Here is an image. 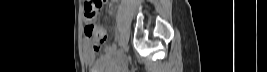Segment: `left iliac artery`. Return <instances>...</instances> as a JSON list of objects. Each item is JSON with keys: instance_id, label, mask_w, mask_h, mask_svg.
<instances>
[{"instance_id": "44dca946", "label": "left iliac artery", "mask_w": 267, "mask_h": 72, "mask_svg": "<svg viewBox=\"0 0 267 72\" xmlns=\"http://www.w3.org/2000/svg\"><path fill=\"white\" fill-rule=\"evenodd\" d=\"M122 45H123V39L121 36L118 38V49H117V55L118 57L122 56L123 50H122Z\"/></svg>"}]
</instances>
